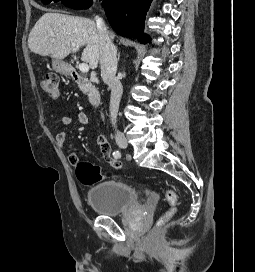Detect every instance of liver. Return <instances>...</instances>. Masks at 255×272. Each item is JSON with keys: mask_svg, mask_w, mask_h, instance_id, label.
I'll use <instances>...</instances> for the list:
<instances>
[{"mask_svg": "<svg viewBox=\"0 0 255 272\" xmlns=\"http://www.w3.org/2000/svg\"><path fill=\"white\" fill-rule=\"evenodd\" d=\"M110 39L115 35L109 32ZM75 43V46H71ZM85 48L81 59L96 69L100 59L99 34L95 22L83 17L61 13H45L34 25L28 37L29 49L53 60H62L70 53Z\"/></svg>", "mask_w": 255, "mask_h": 272, "instance_id": "liver-1", "label": "liver"}]
</instances>
